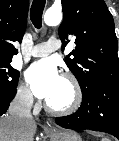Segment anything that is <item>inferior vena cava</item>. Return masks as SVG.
Returning a JSON list of instances; mask_svg holds the SVG:
<instances>
[{"label": "inferior vena cava", "mask_w": 119, "mask_h": 141, "mask_svg": "<svg viewBox=\"0 0 119 141\" xmlns=\"http://www.w3.org/2000/svg\"><path fill=\"white\" fill-rule=\"evenodd\" d=\"M33 106V96L31 92L17 95L11 102L8 112L9 115L18 118L23 125L35 123L31 114Z\"/></svg>", "instance_id": "inferior-vena-cava-1"}]
</instances>
